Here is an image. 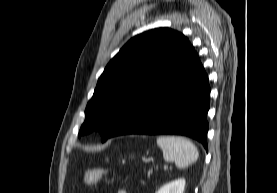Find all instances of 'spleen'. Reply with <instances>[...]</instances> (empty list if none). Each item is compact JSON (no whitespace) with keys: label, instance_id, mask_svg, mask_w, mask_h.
I'll use <instances>...</instances> for the list:
<instances>
[{"label":"spleen","instance_id":"3e777b00","mask_svg":"<svg viewBox=\"0 0 277 193\" xmlns=\"http://www.w3.org/2000/svg\"><path fill=\"white\" fill-rule=\"evenodd\" d=\"M157 145L162 149L165 161H174L178 168H185L197 161L199 153L196 146L180 136H160Z\"/></svg>","mask_w":277,"mask_h":193}]
</instances>
